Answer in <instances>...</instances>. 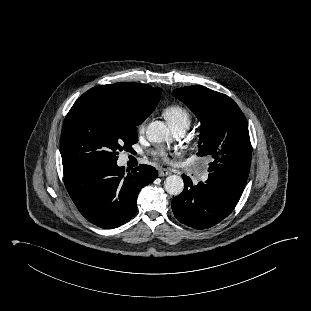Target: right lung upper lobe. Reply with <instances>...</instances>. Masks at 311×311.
<instances>
[{
  "mask_svg": "<svg viewBox=\"0 0 311 311\" xmlns=\"http://www.w3.org/2000/svg\"><path fill=\"white\" fill-rule=\"evenodd\" d=\"M107 89L131 100L140 107L143 117L146 119L155 109L160 100L161 88L138 83H116L99 85L93 89Z\"/></svg>",
  "mask_w": 311,
  "mask_h": 311,
  "instance_id": "cb5924a9",
  "label": "right lung upper lobe"
}]
</instances>
